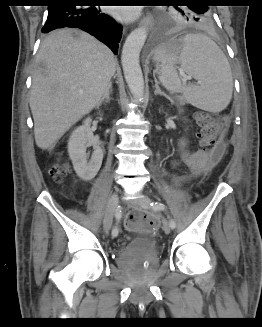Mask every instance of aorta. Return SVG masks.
<instances>
[{
	"instance_id": "1",
	"label": "aorta",
	"mask_w": 262,
	"mask_h": 327,
	"mask_svg": "<svg viewBox=\"0 0 262 327\" xmlns=\"http://www.w3.org/2000/svg\"><path fill=\"white\" fill-rule=\"evenodd\" d=\"M146 38L147 29L145 27L133 30L123 45L121 55L125 80L132 95L137 100H142L144 96V79L139 64V56Z\"/></svg>"
}]
</instances>
